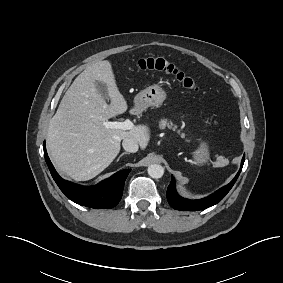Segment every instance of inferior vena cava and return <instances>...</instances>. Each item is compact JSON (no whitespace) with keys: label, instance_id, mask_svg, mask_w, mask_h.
Returning a JSON list of instances; mask_svg holds the SVG:
<instances>
[{"label":"inferior vena cava","instance_id":"602c4592","mask_svg":"<svg viewBox=\"0 0 283 283\" xmlns=\"http://www.w3.org/2000/svg\"><path fill=\"white\" fill-rule=\"evenodd\" d=\"M123 148L131 153H135L138 151L139 145L136 140L132 138H125L122 141Z\"/></svg>","mask_w":283,"mask_h":283}]
</instances>
